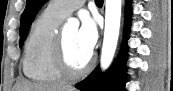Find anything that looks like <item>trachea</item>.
<instances>
[{
    "label": "trachea",
    "mask_w": 173,
    "mask_h": 91,
    "mask_svg": "<svg viewBox=\"0 0 173 91\" xmlns=\"http://www.w3.org/2000/svg\"><path fill=\"white\" fill-rule=\"evenodd\" d=\"M95 3H96L97 5H102V4H103V0H95Z\"/></svg>",
    "instance_id": "1"
}]
</instances>
